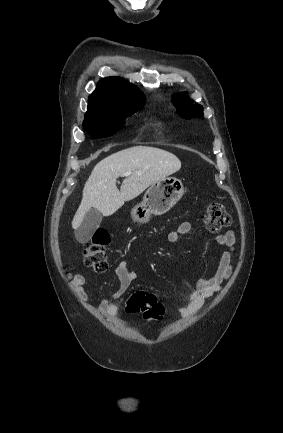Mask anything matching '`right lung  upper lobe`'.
Instances as JSON below:
<instances>
[{"mask_svg":"<svg viewBox=\"0 0 283 433\" xmlns=\"http://www.w3.org/2000/svg\"><path fill=\"white\" fill-rule=\"evenodd\" d=\"M144 104L145 98L135 85L123 78L107 77L89 96L87 113L142 108Z\"/></svg>","mask_w":283,"mask_h":433,"instance_id":"cb5924a9","label":"right lung upper lobe"}]
</instances>
